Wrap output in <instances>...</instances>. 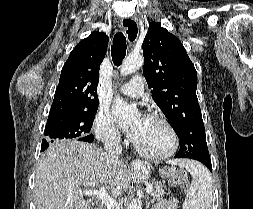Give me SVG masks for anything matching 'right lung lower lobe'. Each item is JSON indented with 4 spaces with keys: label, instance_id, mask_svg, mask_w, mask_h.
<instances>
[{
    "label": "right lung lower lobe",
    "instance_id": "98d812e1",
    "mask_svg": "<svg viewBox=\"0 0 253 209\" xmlns=\"http://www.w3.org/2000/svg\"><path fill=\"white\" fill-rule=\"evenodd\" d=\"M94 140V136H92L91 138L87 139L86 142H93Z\"/></svg>",
    "mask_w": 253,
    "mask_h": 209
}]
</instances>
